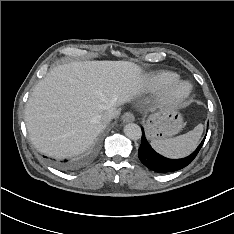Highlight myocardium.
Wrapping results in <instances>:
<instances>
[{
    "label": "myocardium",
    "instance_id": "myocardium-1",
    "mask_svg": "<svg viewBox=\"0 0 234 234\" xmlns=\"http://www.w3.org/2000/svg\"><path fill=\"white\" fill-rule=\"evenodd\" d=\"M191 93L189 83L181 80H173L165 89V96L173 101H180L187 98Z\"/></svg>",
    "mask_w": 234,
    "mask_h": 234
}]
</instances>
